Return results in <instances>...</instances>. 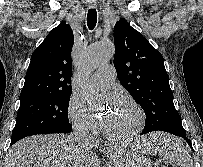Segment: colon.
Wrapping results in <instances>:
<instances>
[{"instance_id": "1", "label": "colon", "mask_w": 203, "mask_h": 167, "mask_svg": "<svg viewBox=\"0 0 203 167\" xmlns=\"http://www.w3.org/2000/svg\"><path fill=\"white\" fill-rule=\"evenodd\" d=\"M156 167H175L174 165H172L171 163H169L168 161L166 160H160Z\"/></svg>"}]
</instances>
